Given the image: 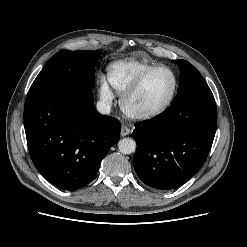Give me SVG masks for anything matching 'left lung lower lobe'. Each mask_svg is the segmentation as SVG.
<instances>
[{
	"label": "left lung lower lobe",
	"instance_id": "left-lung-lower-lobe-1",
	"mask_svg": "<svg viewBox=\"0 0 247 247\" xmlns=\"http://www.w3.org/2000/svg\"><path fill=\"white\" fill-rule=\"evenodd\" d=\"M216 126L215 100L206 94L173 102L153 122L136 123L133 164L138 177L162 190L183 185L206 161Z\"/></svg>",
	"mask_w": 247,
	"mask_h": 247
}]
</instances>
